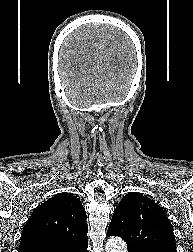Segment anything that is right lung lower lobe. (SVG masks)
<instances>
[{
  "label": "right lung lower lobe",
  "mask_w": 193,
  "mask_h": 252,
  "mask_svg": "<svg viewBox=\"0 0 193 252\" xmlns=\"http://www.w3.org/2000/svg\"><path fill=\"white\" fill-rule=\"evenodd\" d=\"M88 246V245H87ZM87 246L81 248L80 250H78L77 252H88L87 250Z\"/></svg>",
  "instance_id": "obj_1"
}]
</instances>
